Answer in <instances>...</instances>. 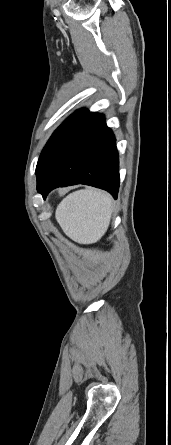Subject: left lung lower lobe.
<instances>
[{
    "label": "left lung lower lobe",
    "mask_w": 171,
    "mask_h": 445,
    "mask_svg": "<svg viewBox=\"0 0 171 445\" xmlns=\"http://www.w3.org/2000/svg\"><path fill=\"white\" fill-rule=\"evenodd\" d=\"M37 175V190L46 198L59 186L86 184L117 198L119 160L104 116L89 112L74 124L50 152Z\"/></svg>",
    "instance_id": "obj_1"
}]
</instances>
